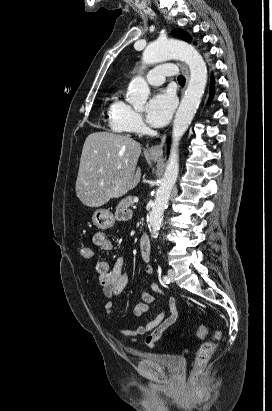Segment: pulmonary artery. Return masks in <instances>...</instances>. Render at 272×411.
Returning a JSON list of instances; mask_svg holds the SVG:
<instances>
[{
	"label": "pulmonary artery",
	"mask_w": 272,
	"mask_h": 411,
	"mask_svg": "<svg viewBox=\"0 0 272 411\" xmlns=\"http://www.w3.org/2000/svg\"><path fill=\"white\" fill-rule=\"evenodd\" d=\"M175 67L169 64H161L151 69L146 78L150 85L160 86L164 83L166 77L173 76L175 74Z\"/></svg>",
	"instance_id": "1"
}]
</instances>
